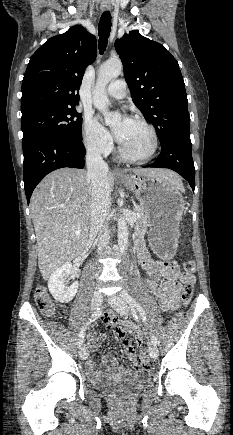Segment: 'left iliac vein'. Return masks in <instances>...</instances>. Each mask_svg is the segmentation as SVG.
Wrapping results in <instances>:
<instances>
[{
	"label": "left iliac vein",
	"instance_id": "1",
	"mask_svg": "<svg viewBox=\"0 0 233 435\" xmlns=\"http://www.w3.org/2000/svg\"><path fill=\"white\" fill-rule=\"evenodd\" d=\"M111 306L122 316L129 313V307L126 301L118 295H114L108 299ZM149 355L151 358L158 357V349L156 345L152 344L149 347Z\"/></svg>",
	"mask_w": 233,
	"mask_h": 435
}]
</instances>
